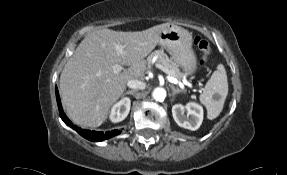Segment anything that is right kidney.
Returning a JSON list of instances; mask_svg holds the SVG:
<instances>
[{"label":"right kidney","mask_w":287,"mask_h":175,"mask_svg":"<svg viewBox=\"0 0 287 175\" xmlns=\"http://www.w3.org/2000/svg\"><path fill=\"white\" fill-rule=\"evenodd\" d=\"M131 101L130 98H122L111 109L110 120L114 123L124 120L130 111Z\"/></svg>","instance_id":"right-kidney-1"}]
</instances>
